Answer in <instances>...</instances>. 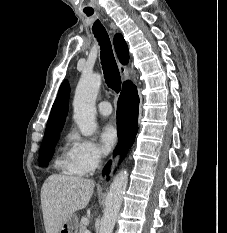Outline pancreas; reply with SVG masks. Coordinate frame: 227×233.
Instances as JSON below:
<instances>
[{
    "label": "pancreas",
    "mask_w": 227,
    "mask_h": 233,
    "mask_svg": "<svg viewBox=\"0 0 227 233\" xmlns=\"http://www.w3.org/2000/svg\"><path fill=\"white\" fill-rule=\"evenodd\" d=\"M85 230H86V226L83 223H80L78 233H84Z\"/></svg>",
    "instance_id": "obj_1"
}]
</instances>
